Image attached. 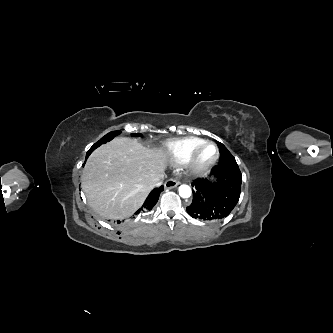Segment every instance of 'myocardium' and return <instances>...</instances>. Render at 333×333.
I'll use <instances>...</instances> for the list:
<instances>
[{
	"instance_id": "obj_1",
	"label": "myocardium",
	"mask_w": 333,
	"mask_h": 333,
	"mask_svg": "<svg viewBox=\"0 0 333 333\" xmlns=\"http://www.w3.org/2000/svg\"><path fill=\"white\" fill-rule=\"evenodd\" d=\"M209 146L215 149V156L207 162H201L200 155L202 151ZM218 159H219L218 147L211 141H205L198 148H196V150L191 154L190 158L185 164L190 174L199 175L212 168L217 163Z\"/></svg>"
}]
</instances>
